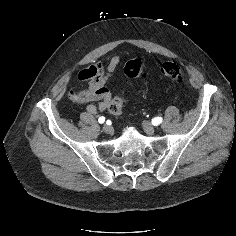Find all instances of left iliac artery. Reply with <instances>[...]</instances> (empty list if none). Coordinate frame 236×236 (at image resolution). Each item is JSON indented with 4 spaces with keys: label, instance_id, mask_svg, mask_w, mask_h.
Masks as SVG:
<instances>
[{
    "label": "left iliac artery",
    "instance_id": "1",
    "mask_svg": "<svg viewBox=\"0 0 236 236\" xmlns=\"http://www.w3.org/2000/svg\"><path fill=\"white\" fill-rule=\"evenodd\" d=\"M162 121H163L162 117H156V118L152 119V124L157 126L160 123H162Z\"/></svg>",
    "mask_w": 236,
    "mask_h": 236
}]
</instances>
